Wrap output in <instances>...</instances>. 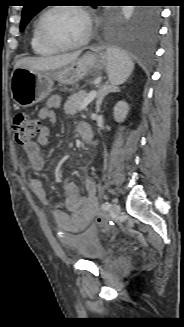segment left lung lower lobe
I'll list each match as a JSON object with an SVG mask.
<instances>
[{
	"mask_svg": "<svg viewBox=\"0 0 184 327\" xmlns=\"http://www.w3.org/2000/svg\"><path fill=\"white\" fill-rule=\"evenodd\" d=\"M159 16L160 12L156 7H143L132 24L111 35L112 47L122 52L151 54L158 33Z\"/></svg>",
	"mask_w": 184,
	"mask_h": 327,
	"instance_id": "obj_1",
	"label": "left lung lower lobe"
}]
</instances>
